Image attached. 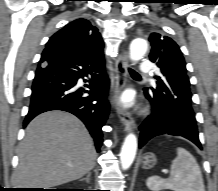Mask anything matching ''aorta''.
<instances>
[{"instance_id": "762f6f07", "label": "aorta", "mask_w": 218, "mask_h": 191, "mask_svg": "<svg viewBox=\"0 0 218 191\" xmlns=\"http://www.w3.org/2000/svg\"><path fill=\"white\" fill-rule=\"evenodd\" d=\"M148 43L144 39H134L130 44V59L138 61L146 54ZM137 151V138L135 134L130 133L126 136L120 152L122 169H128L134 161Z\"/></svg>"}]
</instances>
